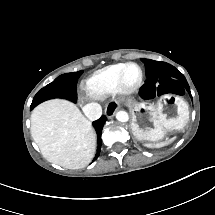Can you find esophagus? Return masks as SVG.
I'll return each mask as SVG.
<instances>
[{
	"mask_svg": "<svg viewBox=\"0 0 215 215\" xmlns=\"http://www.w3.org/2000/svg\"><path fill=\"white\" fill-rule=\"evenodd\" d=\"M120 104L117 100H111L105 110V114L108 118H112L115 112L119 109Z\"/></svg>",
	"mask_w": 215,
	"mask_h": 215,
	"instance_id": "34e87169",
	"label": "esophagus"
}]
</instances>
